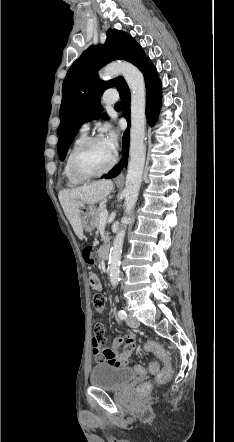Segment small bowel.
Returning a JSON list of instances; mask_svg holds the SVG:
<instances>
[{
	"label": "small bowel",
	"mask_w": 234,
	"mask_h": 442,
	"mask_svg": "<svg viewBox=\"0 0 234 442\" xmlns=\"http://www.w3.org/2000/svg\"><path fill=\"white\" fill-rule=\"evenodd\" d=\"M94 289L101 291L102 285L98 279V283ZM94 336L92 338L93 355L101 362H99L98 367L101 370L114 369L119 370L122 366H127L129 362V357L134 352L136 347L135 338L133 336L118 337L115 339L113 344L110 346H105L104 342V325L102 321L95 323L92 328ZM125 343V346L121 352H118V347L121 343ZM145 349V347H144Z\"/></svg>",
	"instance_id": "c3829d8e"
}]
</instances>
